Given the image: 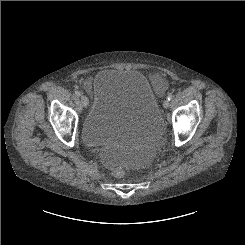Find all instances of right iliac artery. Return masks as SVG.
Here are the masks:
<instances>
[{"label":"right iliac artery","instance_id":"82829eb1","mask_svg":"<svg viewBox=\"0 0 245 245\" xmlns=\"http://www.w3.org/2000/svg\"><path fill=\"white\" fill-rule=\"evenodd\" d=\"M75 94H76L77 96H81L80 91H76Z\"/></svg>","mask_w":245,"mask_h":245}]
</instances>
